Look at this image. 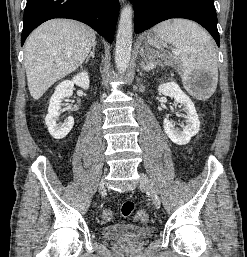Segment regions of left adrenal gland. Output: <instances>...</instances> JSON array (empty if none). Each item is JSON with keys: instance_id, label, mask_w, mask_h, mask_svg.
I'll return each instance as SVG.
<instances>
[{"instance_id": "1", "label": "left adrenal gland", "mask_w": 247, "mask_h": 257, "mask_svg": "<svg viewBox=\"0 0 247 257\" xmlns=\"http://www.w3.org/2000/svg\"><path fill=\"white\" fill-rule=\"evenodd\" d=\"M161 66L163 67L162 63L160 61H152L150 62L148 65H145L144 63L141 64L142 68L145 70V71H150V70H153L154 68H156V66Z\"/></svg>"}]
</instances>
